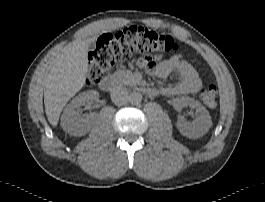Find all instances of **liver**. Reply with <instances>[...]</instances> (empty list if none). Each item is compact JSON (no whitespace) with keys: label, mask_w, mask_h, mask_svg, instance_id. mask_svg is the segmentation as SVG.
Instances as JSON below:
<instances>
[{"label":"liver","mask_w":265,"mask_h":202,"mask_svg":"<svg viewBox=\"0 0 265 202\" xmlns=\"http://www.w3.org/2000/svg\"><path fill=\"white\" fill-rule=\"evenodd\" d=\"M95 38L76 40L65 46L51 66L45 81L44 105L48 121L56 127L66 103L86 83L88 45Z\"/></svg>","instance_id":"obj_1"}]
</instances>
